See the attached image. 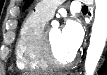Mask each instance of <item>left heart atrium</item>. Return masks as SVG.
I'll use <instances>...</instances> for the list:
<instances>
[{"label": "left heart atrium", "instance_id": "39dd6f15", "mask_svg": "<svg viewBox=\"0 0 107 75\" xmlns=\"http://www.w3.org/2000/svg\"><path fill=\"white\" fill-rule=\"evenodd\" d=\"M61 36L65 47L75 53L82 43L84 31L77 20L68 19L61 30Z\"/></svg>", "mask_w": 107, "mask_h": 75}]
</instances>
